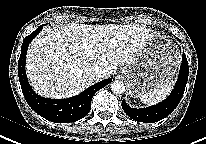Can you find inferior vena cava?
I'll return each instance as SVG.
<instances>
[{"label": "inferior vena cava", "instance_id": "602c4592", "mask_svg": "<svg viewBox=\"0 0 206 144\" xmlns=\"http://www.w3.org/2000/svg\"><path fill=\"white\" fill-rule=\"evenodd\" d=\"M86 73L93 81H99L102 78V69L99 67H90Z\"/></svg>", "mask_w": 206, "mask_h": 144}]
</instances>
